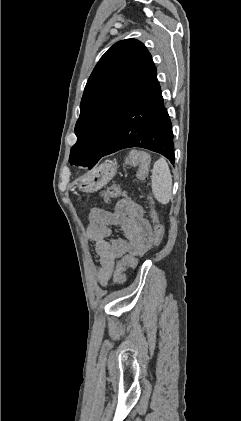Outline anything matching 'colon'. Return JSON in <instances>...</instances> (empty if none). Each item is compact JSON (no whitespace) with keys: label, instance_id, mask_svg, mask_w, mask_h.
Instances as JSON below:
<instances>
[{"label":"colon","instance_id":"colon-1","mask_svg":"<svg viewBox=\"0 0 241 421\" xmlns=\"http://www.w3.org/2000/svg\"><path fill=\"white\" fill-rule=\"evenodd\" d=\"M126 163L129 166L138 168L137 177L143 179L148 173L150 167V158L147 153L143 151H133L126 157ZM120 195V187L117 184L109 186L103 193L105 202H110ZM151 218L154 224V238L153 243L155 246L159 245L163 239V227L159 223L154 211L151 212ZM137 257L126 255L122 257L115 268L114 280L118 284H123L126 278V269L135 268L137 266Z\"/></svg>","mask_w":241,"mask_h":421}]
</instances>
